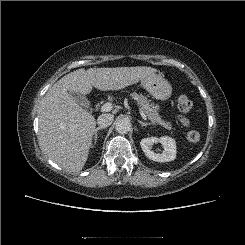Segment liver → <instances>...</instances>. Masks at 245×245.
Returning <instances> with one entry per match:
<instances>
[{"mask_svg":"<svg viewBox=\"0 0 245 245\" xmlns=\"http://www.w3.org/2000/svg\"><path fill=\"white\" fill-rule=\"evenodd\" d=\"M147 66L75 70L59 79L45 94L39 108V142L47 156L61 168L78 172L84 167L96 129L95 117L69 92L89 94L120 90L154 74Z\"/></svg>","mask_w":245,"mask_h":245,"instance_id":"6515ba94","label":"liver"}]
</instances>
